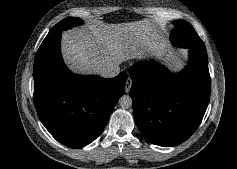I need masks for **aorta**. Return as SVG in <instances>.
Segmentation results:
<instances>
[{"label":"aorta","mask_w":237,"mask_h":169,"mask_svg":"<svg viewBox=\"0 0 237 169\" xmlns=\"http://www.w3.org/2000/svg\"><path fill=\"white\" fill-rule=\"evenodd\" d=\"M119 105L121 108L123 109H128L132 106V99L129 95H123L120 99H119Z\"/></svg>","instance_id":"1"}]
</instances>
